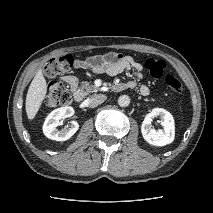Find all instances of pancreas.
<instances>
[{"mask_svg":"<svg viewBox=\"0 0 213 213\" xmlns=\"http://www.w3.org/2000/svg\"><path fill=\"white\" fill-rule=\"evenodd\" d=\"M82 89H84L86 93H90L92 91L97 92L99 90L94 85L89 84V82H82Z\"/></svg>","mask_w":213,"mask_h":213,"instance_id":"cf45deb5","label":"pancreas"}]
</instances>
